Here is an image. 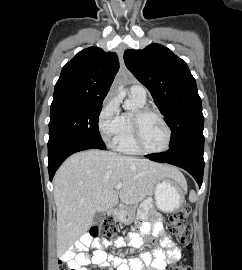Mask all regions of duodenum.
Returning a JSON list of instances; mask_svg holds the SVG:
<instances>
[{
	"mask_svg": "<svg viewBox=\"0 0 242 270\" xmlns=\"http://www.w3.org/2000/svg\"><path fill=\"white\" fill-rule=\"evenodd\" d=\"M117 214H118L117 211L114 210V209H112V210H110V211L108 212V216H110V217H115Z\"/></svg>",
	"mask_w": 242,
	"mask_h": 270,
	"instance_id": "410a0bca",
	"label": "duodenum"
}]
</instances>
